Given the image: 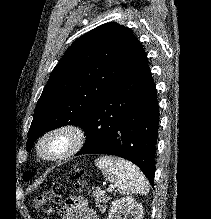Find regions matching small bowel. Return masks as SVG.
Returning <instances> with one entry per match:
<instances>
[{
  "mask_svg": "<svg viewBox=\"0 0 211 219\" xmlns=\"http://www.w3.org/2000/svg\"><path fill=\"white\" fill-rule=\"evenodd\" d=\"M56 219H99L98 216L87 207L86 203L80 199H72L67 202L58 218Z\"/></svg>",
  "mask_w": 211,
  "mask_h": 219,
  "instance_id": "1",
  "label": "small bowel"
}]
</instances>
